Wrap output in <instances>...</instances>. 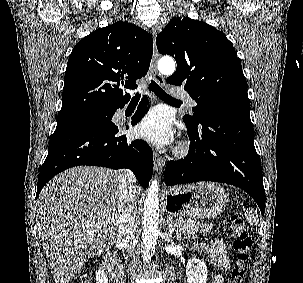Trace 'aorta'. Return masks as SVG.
Returning <instances> with one entry per match:
<instances>
[{"label": "aorta", "mask_w": 303, "mask_h": 283, "mask_svg": "<svg viewBox=\"0 0 303 283\" xmlns=\"http://www.w3.org/2000/svg\"><path fill=\"white\" fill-rule=\"evenodd\" d=\"M175 62L169 56L162 57L158 62L159 72L172 75L175 72ZM159 224V183L153 180L148 188L143 208L142 258L147 263L151 260L158 236Z\"/></svg>", "instance_id": "1"}]
</instances>
